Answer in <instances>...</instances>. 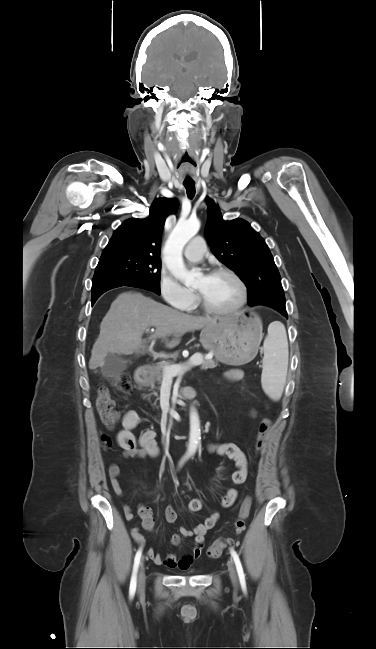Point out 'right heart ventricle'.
<instances>
[{
	"instance_id": "e07e8e85",
	"label": "right heart ventricle",
	"mask_w": 376,
	"mask_h": 649,
	"mask_svg": "<svg viewBox=\"0 0 376 649\" xmlns=\"http://www.w3.org/2000/svg\"><path fill=\"white\" fill-rule=\"evenodd\" d=\"M195 307H196V303L193 302V303H192L188 308H186V309H187V310H193V309H195ZM53 636H54V635H53Z\"/></svg>"
}]
</instances>
